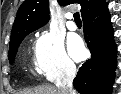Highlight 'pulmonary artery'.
<instances>
[{
  "mask_svg": "<svg viewBox=\"0 0 121 94\" xmlns=\"http://www.w3.org/2000/svg\"><path fill=\"white\" fill-rule=\"evenodd\" d=\"M66 25H67V28L69 30H71V31H75L76 30L77 26H76L75 22L73 21L72 13H68L67 14V23H66Z\"/></svg>",
  "mask_w": 121,
  "mask_h": 94,
  "instance_id": "1",
  "label": "pulmonary artery"
}]
</instances>
